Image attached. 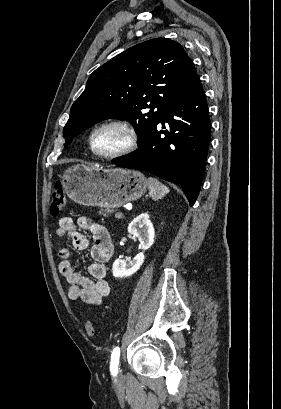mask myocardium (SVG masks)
Here are the masks:
<instances>
[{"label": "myocardium", "mask_w": 281, "mask_h": 409, "mask_svg": "<svg viewBox=\"0 0 281 409\" xmlns=\"http://www.w3.org/2000/svg\"><path fill=\"white\" fill-rule=\"evenodd\" d=\"M116 131L122 135L121 144L114 150L106 153L97 151L96 138L100 133ZM139 134L129 123L122 120H109L96 126L89 138V146L92 153L100 158L116 159L132 152L138 145Z\"/></svg>", "instance_id": "obj_1"}]
</instances>
